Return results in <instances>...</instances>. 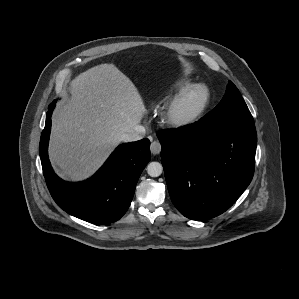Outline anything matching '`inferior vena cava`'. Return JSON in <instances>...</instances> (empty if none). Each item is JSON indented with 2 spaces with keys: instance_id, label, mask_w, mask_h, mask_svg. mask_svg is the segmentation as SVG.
I'll list each match as a JSON object with an SVG mask.
<instances>
[{
  "instance_id": "602c4592",
  "label": "inferior vena cava",
  "mask_w": 299,
  "mask_h": 299,
  "mask_svg": "<svg viewBox=\"0 0 299 299\" xmlns=\"http://www.w3.org/2000/svg\"><path fill=\"white\" fill-rule=\"evenodd\" d=\"M146 129L144 126H137L130 133L124 134L121 137L122 141H137L144 137Z\"/></svg>"
}]
</instances>
